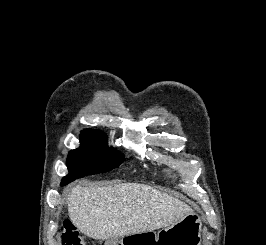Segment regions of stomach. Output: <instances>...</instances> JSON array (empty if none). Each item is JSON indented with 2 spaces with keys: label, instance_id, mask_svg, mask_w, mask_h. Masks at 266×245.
<instances>
[{
  "label": "stomach",
  "instance_id": "stomach-1",
  "mask_svg": "<svg viewBox=\"0 0 266 245\" xmlns=\"http://www.w3.org/2000/svg\"><path fill=\"white\" fill-rule=\"evenodd\" d=\"M201 229L202 223L199 215L188 213L175 225L158 231L157 235L155 233H128V237H121L119 245H122V242H137V245H141L144 240L155 242L157 245H201Z\"/></svg>",
  "mask_w": 266,
  "mask_h": 245
}]
</instances>
